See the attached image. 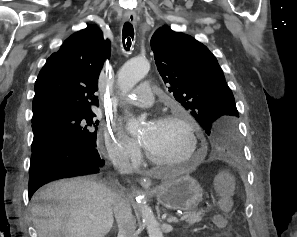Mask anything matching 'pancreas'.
<instances>
[{"mask_svg":"<svg viewBox=\"0 0 297 237\" xmlns=\"http://www.w3.org/2000/svg\"><path fill=\"white\" fill-rule=\"evenodd\" d=\"M204 214H205V211L202 209L199 211L185 213V215H184V216H186L185 221L189 225H193L195 223L200 222L202 220V217L204 216Z\"/></svg>","mask_w":297,"mask_h":237,"instance_id":"cf45deb5","label":"pancreas"}]
</instances>
